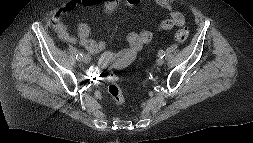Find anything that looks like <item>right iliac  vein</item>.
I'll use <instances>...</instances> for the list:
<instances>
[{
	"mask_svg": "<svg viewBox=\"0 0 253 143\" xmlns=\"http://www.w3.org/2000/svg\"><path fill=\"white\" fill-rule=\"evenodd\" d=\"M83 61H84V63H86V64L90 63V62H91L90 56H89V55H85L84 58H83Z\"/></svg>",
	"mask_w": 253,
	"mask_h": 143,
	"instance_id": "63e3f726",
	"label": "right iliac vein"
}]
</instances>
